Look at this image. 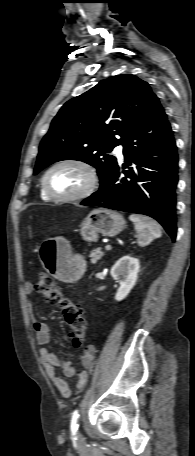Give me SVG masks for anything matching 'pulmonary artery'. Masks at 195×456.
Returning <instances> with one entry per match:
<instances>
[{"instance_id":"obj_1","label":"pulmonary artery","mask_w":195,"mask_h":456,"mask_svg":"<svg viewBox=\"0 0 195 456\" xmlns=\"http://www.w3.org/2000/svg\"><path fill=\"white\" fill-rule=\"evenodd\" d=\"M123 149H124V148H123L122 145H119V146L116 147L115 152H116V154H117L119 157L122 156Z\"/></svg>"}]
</instances>
